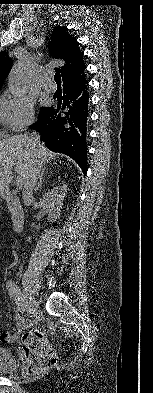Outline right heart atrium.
I'll return each mask as SVG.
<instances>
[{"mask_svg": "<svg viewBox=\"0 0 153 393\" xmlns=\"http://www.w3.org/2000/svg\"><path fill=\"white\" fill-rule=\"evenodd\" d=\"M34 120V106L26 98L8 100L0 108V121L12 132H20Z\"/></svg>", "mask_w": 153, "mask_h": 393, "instance_id": "right-heart-atrium-1", "label": "right heart atrium"}]
</instances>
